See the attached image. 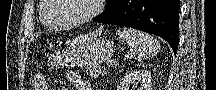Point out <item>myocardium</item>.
<instances>
[{"label":"myocardium","mask_w":216,"mask_h":90,"mask_svg":"<svg viewBox=\"0 0 216 90\" xmlns=\"http://www.w3.org/2000/svg\"><path fill=\"white\" fill-rule=\"evenodd\" d=\"M91 3V9L89 13H87L80 21L68 25V26H56L50 23V21L55 18V15H57V12H61V9H63L62 2H59V0H48V2H54V8H51V11H48V14H46V17H44V21L42 23L49 29L54 31H70L74 30L76 28H79L86 23L93 20L100 12H101V6L99 3H103V0H89Z\"/></svg>","instance_id":"obj_1"}]
</instances>
